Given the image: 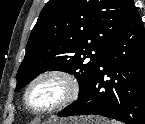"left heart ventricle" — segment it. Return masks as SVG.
Masks as SVG:
<instances>
[{
  "instance_id": "obj_1",
  "label": "left heart ventricle",
  "mask_w": 145,
  "mask_h": 124,
  "mask_svg": "<svg viewBox=\"0 0 145 124\" xmlns=\"http://www.w3.org/2000/svg\"><path fill=\"white\" fill-rule=\"evenodd\" d=\"M63 94L62 85L46 81L37 85L30 94V101L36 107H44L58 100Z\"/></svg>"
}]
</instances>
